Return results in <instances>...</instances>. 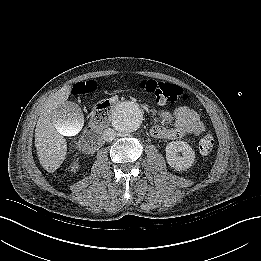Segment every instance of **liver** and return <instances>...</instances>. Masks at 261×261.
Wrapping results in <instances>:
<instances>
[{
  "label": "liver",
  "mask_w": 261,
  "mask_h": 261,
  "mask_svg": "<svg viewBox=\"0 0 261 261\" xmlns=\"http://www.w3.org/2000/svg\"><path fill=\"white\" fill-rule=\"evenodd\" d=\"M71 86H63L50 95L43 103L35 129V146L41 166L49 173L56 171L67 154V142L64 135L80 131L84 118L81 108L75 104L76 112L71 133L63 131V124L56 116L59 105L66 102L71 94Z\"/></svg>",
  "instance_id": "liver-1"
}]
</instances>
